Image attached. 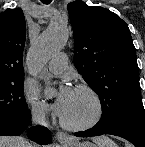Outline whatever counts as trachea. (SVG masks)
Listing matches in <instances>:
<instances>
[{
	"mask_svg": "<svg viewBox=\"0 0 145 147\" xmlns=\"http://www.w3.org/2000/svg\"><path fill=\"white\" fill-rule=\"evenodd\" d=\"M44 4H49L51 2V0H45V1H42Z\"/></svg>",
	"mask_w": 145,
	"mask_h": 147,
	"instance_id": "obj_1",
	"label": "trachea"
}]
</instances>
